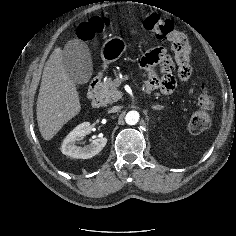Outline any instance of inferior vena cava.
Here are the masks:
<instances>
[{
	"mask_svg": "<svg viewBox=\"0 0 236 236\" xmlns=\"http://www.w3.org/2000/svg\"><path fill=\"white\" fill-rule=\"evenodd\" d=\"M119 110H120V106H113V107L109 110V112L114 113V112H117V111H119Z\"/></svg>",
	"mask_w": 236,
	"mask_h": 236,
	"instance_id": "602c4592",
	"label": "inferior vena cava"
}]
</instances>
